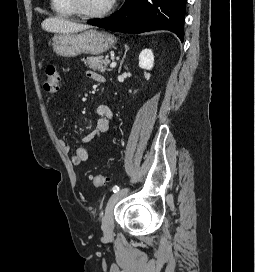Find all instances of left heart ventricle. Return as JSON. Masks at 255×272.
Returning a JSON list of instances; mask_svg holds the SVG:
<instances>
[{"mask_svg": "<svg viewBox=\"0 0 255 272\" xmlns=\"http://www.w3.org/2000/svg\"><path fill=\"white\" fill-rule=\"evenodd\" d=\"M81 8L87 12H100L104 10L110 0H79Z\"/></svg>", "mask_w": 255, "mask_h": 272, "instance_id": "b2bd125f", "label": "left heart ventricle"}]
</instances>
